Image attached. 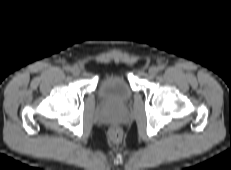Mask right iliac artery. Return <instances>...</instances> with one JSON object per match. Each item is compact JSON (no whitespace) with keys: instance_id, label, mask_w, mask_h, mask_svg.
I'll list each match as a JSON object with an SVG mask.
<instances>
[{"instance_id":"1","label":"right iliac artery","mask_w":231,"mask_h":170,"mask_svg":"<svg viewBox=\"0 0 231 170\" xmlns=\"http://www.w3.org/2000/svg\"><path fill=\"white\" fill-rule=\"evenodd\" d=\"M65 70L66 71H70L71 70V67L69 65L65 66Z\"/></svg>"}]
</instances>
